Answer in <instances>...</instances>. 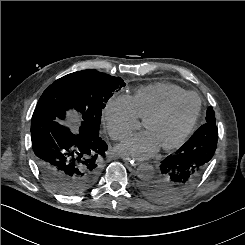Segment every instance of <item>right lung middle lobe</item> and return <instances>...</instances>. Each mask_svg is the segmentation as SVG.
I'll list each match as a JSON object with an SVG mask.
<instances>
[{
	"label": "right lung middle lobe",
	"mask_w": 245,
	"mask_h": 245,
	"mask_svg": "<svg viewBox=\"0 0 245 245\" xmlns=\"http://www.w3.org/2000/svg\"><path fill=\"white\" fill-rule=\"evenodd\" d=\"M125 83L96 70L68 74L51 84L40 97L37 107L50 110L56 118L64 119L66 111L81 114L79 132L86 137H98L102 110L115 91Z\"/></svg>",
	"instance_id": "obj_1"
}]
</instances>
